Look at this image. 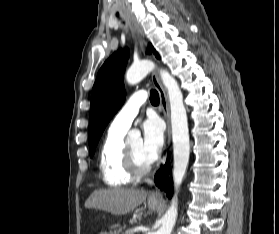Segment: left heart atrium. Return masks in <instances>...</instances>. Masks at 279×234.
Instances as JSON below:
<instances>
[{
  "label": "left heart atrium",
  "mask_w": 279,
  "mask_h": 234,
  "mask_svg": "<svg viewBox=\"0 0 279 234\" xmlns=\"http://www.w3.org/2000/svg\"><path fill=\"white\" fill-rule=\"evenodd\" d=\"M143 149L151 161L157 158L164 143V132L161 122L154 117L148 118L142 124Z\"/></svg>",
  "instance_id": "obj_1"
}]
</instances>
